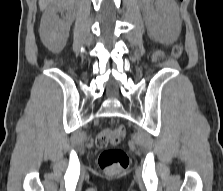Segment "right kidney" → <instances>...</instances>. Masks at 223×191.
<instances>
[{"label": "right kidney", "instance_id": "1", "mask_svg": "<svg viewBox=\"0 0 223 191\" xmlns=\"http://www.w3.org/2000/svg\"><path fill=\"white\" fill-rule=\"evenodd\" d=\"M75 4L76 0H55L44 12L40 24V36L42 42L51 51H60L65 46L74 19ZM63 10L68 12L65 19L61 20L58 14Z\"/></svg>", "mask_w": 223, "mask_h": 191}]
</instances>
